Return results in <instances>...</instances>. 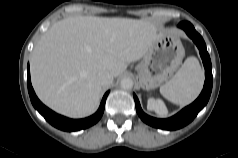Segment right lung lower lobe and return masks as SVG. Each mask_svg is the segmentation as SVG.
Returning a JSON list of instances; mask_svg holds the SVG:
<instances>
[{
  "instance_id": "obj_1",
  "label": "right lung lower lobe",
  "mask_w": 238,
  "mask_h": 158,
  "mask_svg": "<svg viewBox=\"0 0 238 158\" xmlns=\"http://www.w3.org/2000/svg\"><path fill=\"white\" fill-rule=\"evenodd\" d=\"M27 71H28L27 74L28 92L31 102L34 108L54 127L64 131H77L94 125L99 121V119L103 115L105 102L109 94V91L104 95L100 107L94 115L85 119L73 120L56 114L55 112H53L40 102V100L35 95V92L31 85L29 65L27 67Z\"/></svg>"
}]
</instances>
